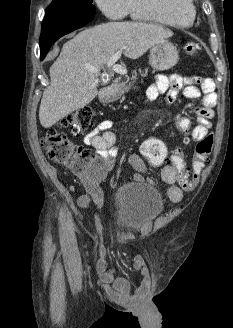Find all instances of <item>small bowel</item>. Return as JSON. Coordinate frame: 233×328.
Segmentation results:
<instances>
[{"label": "small bowel", "instance_id": "small-bowel-1", "mask_svg": "<svg viewBox=\"0 0 233 328\" xmlns=\"http://www.w3.org/2000/svg\"><path fill=\"white\" fill-rule=\"evenodd\" d=\"M215 85L211 78L200 76H163L160 75L147 89L146 96L149 100H155L159 95L165 94L168 103H172L180 91L186 99H197L203 96V104L195 107L198 124L191 132L193 141L202 140L211 127V119L214 116L213 108L216 105L217 95L214 92ZM112 121L103 120L99 122L84 138V143L94 148L98 156L103 160L102 171L99 177L84 180L87 194L78 198L77 204L82 209H89L93 204L100 211L104 205V194L99 185V180L105 172L114 165L117 150L114 147L115 134L112 132ZM128 163L136 170L134 179L138 182L144 180L143 173L146 168L141 158L132 154ZM163 181L167 184V196L172 202H179L183 197V191L178 181V174L170 165H166L161 172ZM100 221V215H96ZM133 267L140 274L141 281L137 289L132 292L129 283L122 278H115L114 271L106 267L105 261L98 266L100 282L109 297L121 304H131L142 300L149 292L151 286L149 270L141 257L133 259Z\"/></svg>", "mask_w": 233, "mask_h": 328}]
</instances>
